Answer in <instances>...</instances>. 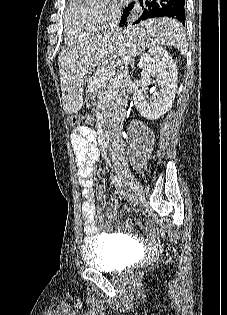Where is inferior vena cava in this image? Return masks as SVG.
Segmentation results:
<instances>
[{"label": "inferior vena cava", "mask_w": 227, "mask_h": 315, "mask_svg": "<svg viewBox=\"0 0 227 315\" xmlns=\"http://www.w3.org/2000/svg\"><path fill=\"white\" fill-rule=\"evenodd\" d=\"M121 18V10L113 7L110 11V21L106 27L103 35L105 37L115 34L119 30V22ZM118 81L114 83L116 91L113 97V124L110 131V151L112 156L117 153H122L123 149L121 146V129L125 119V110L128 101V93L130 86V78L128 68L125 67L117 75Z\"/></svg>", "instance_id": "1"}]
</instances>
